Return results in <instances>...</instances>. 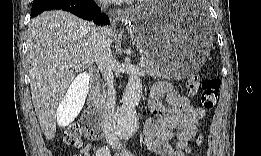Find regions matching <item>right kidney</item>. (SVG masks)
<instances>
[{"label":"right kidney","mask_w":261,"mask_h":156,"mask_svg":"<svg viewBox=\"0 0 261 156\" xmlns=\"http://www.w3.org/2000/svg\"><path fill=\"white\" fill-rule=\"evenodd\" d=\"M81 100L84 101V95H81Z\"/></svg>","instance_id":"right-kidney-1"}]
</instances>
